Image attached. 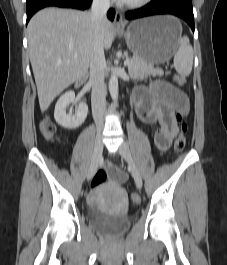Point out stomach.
<instances>
[{
	"label": "stomach",
	"instance_id": "stomach-1",
	"mask_svg": "<svg viewBox=\"0 0 227 265\" xmlns=\"http://www.w3.org/2000/svg\"><path fill=\"white\" fill-rule=\"evenodd\" d=\"M182 27L173 16L163 15L133 21L126 31L119 30L133 55L146 64H161L176 52Z\"/></svg>",
	"mask_w": 227,
	"mask_h": 265
}]
</instances>
